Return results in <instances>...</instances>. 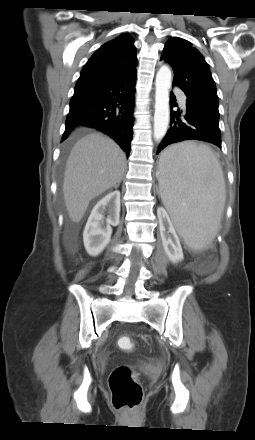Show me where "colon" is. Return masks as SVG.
I'll return each mask as SVG.
<instances>
[{
	"label": "colon",
	"instance_id": "1",
	"mask_svg": "<svg viewBox=\"0 0 255 440\" xmlns=\"http://www.w3.org/2000/svg\"><path fill=\"white\" fill-rule=\"evenodd\" d=\"M119 348L132 350L134 341L128 335L117 339ZM109 389L111 392L112 405L116 409H137L143 399L142 386L133 368L127 365L116 367L109 377Z\"/></svg>",
	"mask_w": 255,
	"mask_h": 440
}]
</instances>
